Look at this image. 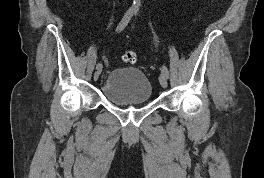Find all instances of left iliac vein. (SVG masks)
I'll return each mask as SVG.
<instances>
[{
	"label": "left iliac vein",
	"instance_id": "obj_1",
	"mask_svg": "<svg viewBox=\"0 0 264 178\" xmlns=\"http://www.w3.org/2000/svg\"><path fill=\"white\" fill-rule=\"evenodd\" d=\"M167 79H168V77L165 74H163V73L160 74V76H159V82H160V84H161V86L163 88H166L167 87Z\"/></svg>",
	"mask_w": 264,
	"mask_h": 178
}]
</instances>
